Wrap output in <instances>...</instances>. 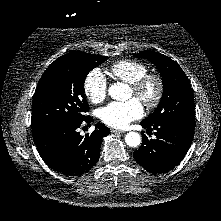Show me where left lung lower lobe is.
<instances>
[{
    "label": "left lung lower lobe",
    "instance_id": "left-lung-lower-lobe-1",
    "mask_svg": "<svg viewBox=\"0 0 221 221\" xmlns=\"http://www.w3.org/2000/svg\"><path fill=\"white\" fill-rule=\"evenodd\" d=\"M140 124L148 133L155 130L156 139L143 136L142 145L133 153L136 162L153 174L168 172L177 166L191 146L195 128L173 122Z\"/></svg>",
    "mask_w": 221,
    "mask_h": 221
}]
</instances>
